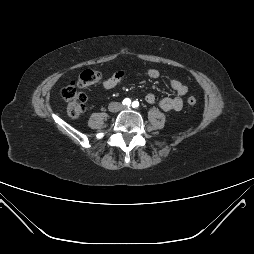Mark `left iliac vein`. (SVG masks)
Returning a JSON list of instances; mask_svg holds the SVG:
<instances>
[{"label": "left iliac vein", "instance_id": "4c4485c4", "mask_svg": "<svg viewBox=\"0 0 254 254\" xmlns=\"http://www.w3.org/2000/svg\"><path fill=\"white\" fill-rule=\"evenodd\" d=\"M129 107H123V109H128Z\"/></svg>", "mask_w": 254, "mask_h": 254}]
</instances>
